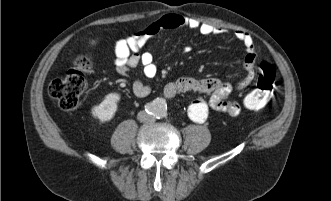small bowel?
Returning <instances> with one entry per match:
<instances>
[{"label":"small bowel","mask_w":331,"mask_h":201,"mask_svg":"<svg viewBox=\"0 0 331 201\" xmlns=\"http://www.w3.org/2000/svg\"><path fill=\"white\" fill-rule=\"evenodd\" d=\"M187 27L198 31L204 36L225 34L226 30L221 27L202 23L196 19L187 18L179 14H169L152 22L145 28L116 40L114 44L115 68L120 75H126L130 70L142 67L144 74L152 78L157 73L153 55L149 51H143L147 42L162 30H171ZM234 37L245 47L246 56L244 66L245 77L235 86L227 81L216 78L195 79L182 77L165 85L163 92L167 98H173L177 94L187 91L209 93L208 100L198 98L190 103L187 109L189 118L196 123H203L209 116L210 111H218L230 116H236L241 111V104L236 100L228 99V95L236 88L247 87L254 79L255 67L258 58L251 35L245 31L236 30ZM133 93L140 98L150 94L151 88L141 80L134 81Z\"/></svg>","instance_id":"obj_1"}]
</instances>
